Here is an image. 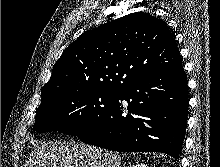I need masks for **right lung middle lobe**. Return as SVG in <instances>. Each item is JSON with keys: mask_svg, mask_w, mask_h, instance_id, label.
Here are the masks:
<instances>
[{"mask_svg": "<svg viewBox=\"0 0 220 167\" xmlns=\"http://www.w3.org/2000/svg\"><path fill=\"white\" fill-rule=\"evenodd\" d=\"M119 91L78 88L41 102L36 110L37 133L58 130L78 136L96 125L112 107Z\"/></svg>", "mask_w": 220, "mask_h": 167, "instance_id": "1", "label": "right lung middle lobe"}]
</instances>
